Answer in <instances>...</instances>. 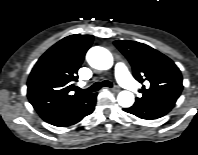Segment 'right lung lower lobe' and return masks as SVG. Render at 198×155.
Instances as JSON below:
<instances>
[{
  "instance_id": "1",
  "label": "right lung lower lobe",
  "mask_w": 198,
  "mask_h": 155,
  "mask_svg": "<svg viewBox=\"0 0 198 155\" xmlns=\"http://www.w3.org/2000/svg\"><path fill=\"white\" fill-rule=\"evenodd\" d=\"M97 93L85 94L78 100L41 114V118L57 127H67L76 124L91 114L96 104Z\"/></svg>"
}]
</instances>
